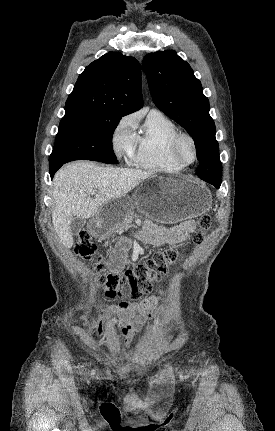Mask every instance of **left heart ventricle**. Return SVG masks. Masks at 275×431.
I'll list each match as a JSON object with an SVG mask.
<instances>
[{
	"label": "left heart ventricle",
	"mask_w": 275,
	"mask_h": 431,
	"mask_svg": "<svg viewBox=\"0 0 275 431\" xmlns=\"http://www.w3.org/2000/svg\"><path fill=\"white\" fill-rule=\"evenodd\" d=\"M179 154L184 162H189L192 159L193 151L191 144L187 140H183L179 146Z\"/></svg>",
	"instance_id": "b2bd125f"
}]
</instances>
